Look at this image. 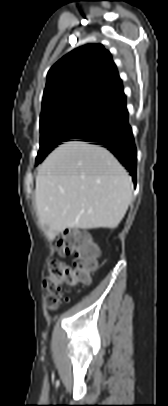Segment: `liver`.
I'll use <instances>...</instances> for the list:
<instances>
[{
	"label": "liver",
	"mask_w": 168,
	"mask_h": 406,
	"mask_svg": "<svg viewBox=\"0 0 168 406\" xmlns=\"http://www.w3.org/2000/svg\"><path fill=\"white\" fill-rule=\"evenodd\" d=\"M132 192L131 177L107 149L68 141L38 168V218L52 237L67 228L113 229L126 214Z\"/></svg>",
	"instance_id": "obj_1"
}]
</instances>
